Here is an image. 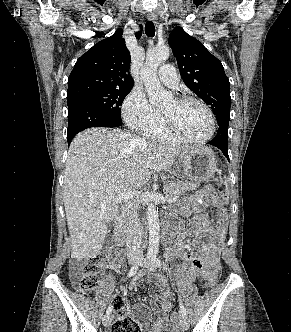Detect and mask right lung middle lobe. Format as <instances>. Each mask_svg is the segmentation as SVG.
<instances>
[{
  "mask_svg": "<svg viewBox=\"0 0 291 332\" xmlns=\"http://www.w3.org/2000/svg\"><path fill=\"white\" fill-rule=\"evenodd\" d=\"M130 91L131 88L89 91L73 97H68L67 103L68 106H70L77 101L89 102L109 114L116 121V123L122 125L120 105Z\"/></svg>",
  "mask_w": 291,
  "mask_h": 332,
  "instance_id": "1",
  "label": "right lung middle lobe"
}]
</instances>
